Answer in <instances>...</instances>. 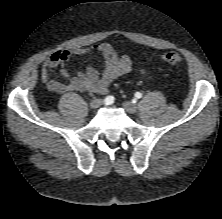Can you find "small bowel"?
Returning <instances> with one entry per match:
<instances>
[{
  "label": "small bowel",
  "mask_w": 222,
  "mask_h": 219,
  "mask_svg": "<svg viewBox=\"0 0 222 219\" xmlns=\"http://www.w3.org/2000/svg\"><path fill=\"white\" fill-rule=\"evenodd\" d=\"M98 55L102 58L103 71L89 65L84 71L72 76L67 63L73 57L90 58ZM133 64L129 56L118 55L115 47L109 43H101L90 47H74L62 49L49 55L41 69V80L46 87L55 93L89 92L94 94H107L112 84L122 75L132 70ZM55 69H59L64 82L52 78Z\"/></svg>",
  "instance_id": "c3829d8e"
}]
</instances>
